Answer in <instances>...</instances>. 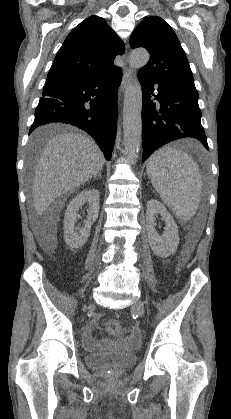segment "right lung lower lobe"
<instances>
[{
    "label": "right lung lower lobe",
    "instance_id": "98d812e1",
    "mask_svg": "<svg viewBox=\"0 0 231 419\" xmlns=\"http://www.w3.org/2000/svg\"><path fill=\"white\" fill-rule=\"evenodd\" d=\"M121 78V68H117L95 78L44 86L29 134L43 124L70 123L90 134L110 160L116 137Z\"/></svg>",
    "mask_w": 231,
    "mask_h": 419
}]
</instances>
